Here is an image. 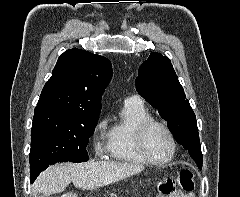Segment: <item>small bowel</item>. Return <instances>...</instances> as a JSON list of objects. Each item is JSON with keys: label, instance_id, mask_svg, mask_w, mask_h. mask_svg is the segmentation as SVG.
I'll return each instance as SVG.
<instances>
[{"label": "small bowel", "instance_id": "obj_1", "mask_svg": "<svg viewBox=\"0 0 240 197\" xmlns=\"http://www.w3.org/2000/svg\"><path fill=\"white\" fill-rule=\"evenodd\" d=\"M167 197H195L193 192L190 193H182L180 191H173L167 195Z\"/></svg>", "mask_w": 240, "mask_h": 197}]
</instances>
